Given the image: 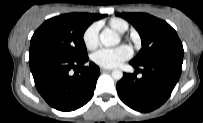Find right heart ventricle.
<instances>
[{"mask_svg": "<svg viewBox=\"0 0 203 123\" xmlns=\"http://www.w3.org/2000/svg\"><path fill=\"white\" fill-rule=\"evenodd\" d=\"M109 24L113 29L120 33L126 32L129 27L128 23L121 18H112L109 21Z\"/></svg>", "mask_w": 203, "mask_h": 123, "instance_id": "obj_1", "label": "right heart ventricle"}]
</instances>
